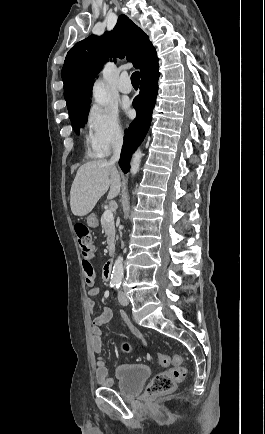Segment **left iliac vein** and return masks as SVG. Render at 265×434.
<instances>
[{
	"label": "left iliac vein",
	"mask_w": 265,
	"mask_h": 434,
	"mask_svg": "<svg viewBox=\"0 0 265 434\" xmlns=\"http://www.w3.org/2000/svg\"><path fill=\"white\" fill-rule=\"evenodd\" d=\"M118 299H119V303L123 306H127L129 304V300L124 292L120 291L118 293Z\"/></svg>",
	"instance_id": "4c4485c4"
}]
</instances>
